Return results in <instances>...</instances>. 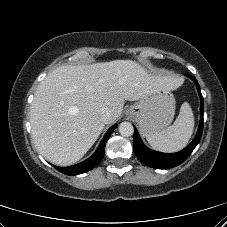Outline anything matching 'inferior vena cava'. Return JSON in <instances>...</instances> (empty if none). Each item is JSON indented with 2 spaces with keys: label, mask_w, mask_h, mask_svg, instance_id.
<instances>
[{
  "label": "inferior vena cava",
  "mask_w": 227,
  "mask_h": 227,
  "mask_svg": "<svg viewBox=\"0 0 227 227\" xmlns=\"http://www.w3.org/2000/svg\"><path fill=\"white\" fill-rule=\"evenodd\" d=\"M111 116H112V112L110 111L109 108L103 107L101 109V119L103 122L107 123L109 121V119L111 118Z\"/></svg>",
  "instance_id": "obj_1"
}]
</instances>
